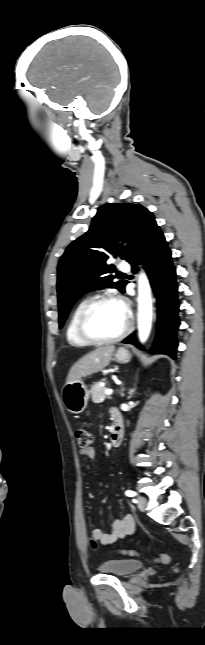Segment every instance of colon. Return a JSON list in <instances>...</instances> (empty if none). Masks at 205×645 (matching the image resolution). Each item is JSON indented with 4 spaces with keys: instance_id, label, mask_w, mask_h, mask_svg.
<instances>
[{
    "instance_id": "5ec220e1",
    "label": "colon",
    "mask_w": 205,
    "mask_h": 645,
    "mask_svg": "<svg viewBox=\"0 0 205 645\" xmlns=\"http://www.w3.org/2000/svg\"><path fill=\"white\" fill-rule=\"evenodd\" d=\"M75 437H76V440H77V443H78L79 447H81V448H88V446L92 442V436H91L90 432L87 429L82 428V427L77 428L75 430ZM122 552L126 553V554H129V555H135L136 554L132 550L122 551ZM158 561H160L161 563H164V564L168 563L169 562V555L167 553H161L159 555V557H158Z\"/></svg>"
}]
</instances>
